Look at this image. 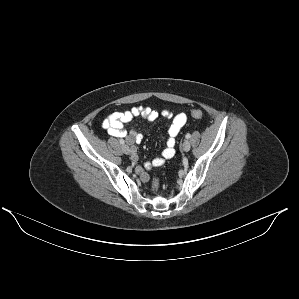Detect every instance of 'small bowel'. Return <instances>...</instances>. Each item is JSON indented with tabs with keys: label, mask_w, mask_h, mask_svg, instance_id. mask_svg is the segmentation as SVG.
<instances>
[{
	"label": "small bowel",
	"mask_w": 299,
	"mask_h": 299,
	"mask_svg": "<svg viewBox=\"0 0 299 299\" xmlns=\"http://www.w3.org/2000/svg\"><path fill=\"white\" fill-rule=\"evenodd\" d=\"M162 115L165 118L172 119V122L168 128L166 147L163 149L160 156L155 157L150 162H146L142 167L137 168V174L140 176L143 182H146L149 179L147 173L148 169L160 167L165 163L166 160L172 159L175 156L176 137L187 120V117L184 113L173 116L170 111L164 110L162 111ZM138 116H141L149 121H154L158 117V113L148 107L132 108L123 112H113L109 114L102 123L103 128L109 135L123 138L131 146L132 161H137L138 159L135 145L141 141L142 135L134 130H127L124 125Z\"/></svg>",
	"instance_id": "1"
}]
</instances>
